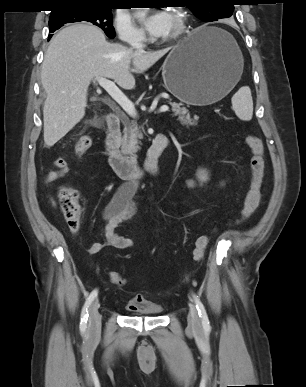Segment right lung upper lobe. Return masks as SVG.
I'll use <instances>...</instances> for the list:
<instances>
[{"instance_id": "obj_1", "label": "right lung upper lobe", "mask_w": 306, "mask_h": 387, "mask_svg": "<svg viewBox=\"0 0 306 387\" xmlns=\"http://www.w3.org/2000/svg\"><path fill=\"white\" fill-rule=\"evenodd\" d=\"M56 9L52 12L60 11L66 7L72 6H103L110 7L113 0H55Z\"/></svg>"}]
</instances>
